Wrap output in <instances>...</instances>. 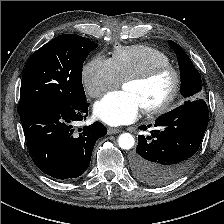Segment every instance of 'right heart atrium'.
Returning <instances> with one entry per match:
<instances>
[{"label":"right heart atrium","mask_w":224,"mask_h":224,"mask_svg":"<svg viewBox=\"0 0 224 224\" xmlns=\"http://www.w3.org/2000/svg\"><path fill=\"white\" fill-rule=\"evenodd\" d=\"M119 77L111 58L96 56L82 70V83L87 94L93 98L119 86Z\"/></svg>","instance_id":"right-heart-atrium-1"}]
</instances>
